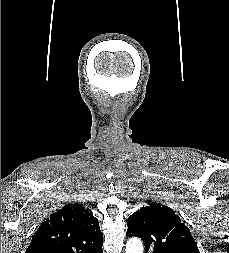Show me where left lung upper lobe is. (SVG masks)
<instances>
[{
	"label": "left lung upper lobe",
	"mask_w": 229,
	"mask_h": 253,
	"mask_svg": "<svg viewBox=\"0 0 229 253\" xmlns=\"http://www.w3.org/2000/svg\"><path fill=\"white\" fill-rule=\"evenodd\" d=\"M126 235L140 237L148 253H199L188 228L175 212L148 202L128 218Z\"/></svg>",
	"instance_id": "left-lung-upper-lobe-1"
}]
</instances>
